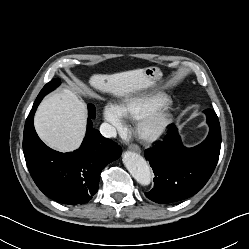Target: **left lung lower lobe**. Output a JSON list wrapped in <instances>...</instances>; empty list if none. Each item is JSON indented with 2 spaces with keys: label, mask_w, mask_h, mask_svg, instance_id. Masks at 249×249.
I'll use <instances>...</instances> for the list:
<instances>
[{
  "label": "left lung lower lobe",
  "mask_w": 249,
  "mask_h": 249,
  "mask_svg": "<svg viewBox=\"0 0 249 249\" xmlns=\"http://www.w3.org/2000/svg\"><path fill=\"white\" fill-rule=\"evenodd\" d=\"M209 125L207 138L198 146L182 145L177 128L172 126L167 137L144 155L155 173L154 188L145 195L157 203H172L200 191L212 175L221 147V130L216 113L204 111Z\"/></svg>",
  "instance_id": "0a47b994"
}]
</instances>
